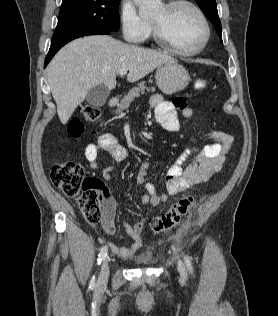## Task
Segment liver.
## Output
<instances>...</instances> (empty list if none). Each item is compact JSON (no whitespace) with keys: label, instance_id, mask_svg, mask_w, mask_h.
<instances>
[{"label":"liver","instance_id":"obj_1","mask_svg":"<svg viewBox=\"0 0 278 316\" xmlns=\"http://www.w3.org/2000/svg\"><path fill=\"white\" fill-rule=\"evenodd\" d=\"M172 60L161 51L126 44L106 35L70 42L55 55L47 74L61 123H67L94 86L103 84L114 89L119 70L127 69V81L133 83Z\"/></svg>","mask_w":278,"mask_h":316}]
</instances>
